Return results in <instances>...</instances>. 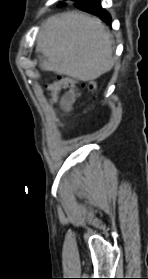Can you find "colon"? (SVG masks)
<instances>
[{"instance_id": "obj_1", "label": "colon", "mask_w": 148, "mask_h": 279, "mask_svg": "<svg viewBox=\"0 0 148 279\" xmlns=\"http://www.w3.org/2000/svg\"><path fill=\"white\" fill-rule=\"evenodd\" d=\"M78 85L87 86L91 90L95 91L97 86L95 82H79L70 77H62L57 81L52 82L46 86L49 99L51 101H59L64 95L69 93H78Z\"/></svg>"}]
</instances>
